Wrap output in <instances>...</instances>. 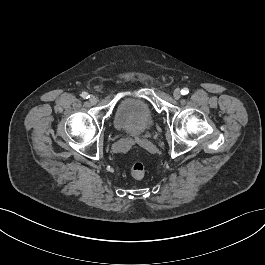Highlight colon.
<instances>
[{
	"mask_svg": "<svg viewBox=\"0 0 265 265\" xmlns=\"http://www.w3.org/2000/svg\"><path fill=\"white\" fill-rule=\"evenodd\" d=\"M130 173L135 179H142L145 176L146 168L142 162H135L130 167Z\"/></svg>",
	"mask_w": 265,
	"mask_h": 265,
	"instance_id": "5ec220e1",
	"label": "colon"
}]
</instances>
